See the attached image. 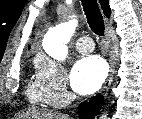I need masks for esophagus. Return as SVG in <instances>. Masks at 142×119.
<instances>
[{"label":"esophagus","mask_w":142,"mask_h":119,"mask_svg":"<svg viewBox=\"0 0 142 119\" xmlns=\"http://www.w3.org/2000/svg\"><path fill=\"white\" fill-rule=\"evenodd\" d=\"M105 38H106V44H107V47H108L110 71H109V75H108V77H107V79H106V81L104 83V86L102 88V92H106L110 88L111 83H112L113 78H114L115 67H116V58H115L114 47H113V44H112V41H111V34H110L108 19H106V34H105Z\"/></svg>","instance_id":"obj_1"}]
</instances>
